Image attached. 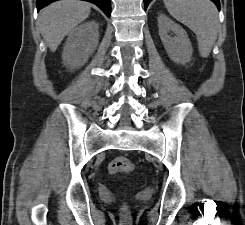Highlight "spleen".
<instances>
[{
    "instance_id": "3e777b00",
    "label": "spleen",
    "mask_w": 245,
    "mask_h": 225,
    "mask_svg": "<svg viewBox=\"0 0 245 225\" xmlns=\"http://www.w3.org/2000/svg\"><path fill=\"white\" fill-rule=\"evenodd\" d=\"M163 1L170 15L196 34L200 55L208 57L219 28L215 5L210 0Z\"/></svg>"
}]
</instances>
